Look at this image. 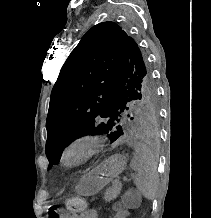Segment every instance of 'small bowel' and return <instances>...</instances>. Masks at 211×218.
Here are the masks:
<instances>
[{
	"label": "small bowel",
	"mask_w": 211,
	"mask_h": 218,
	"mask_svg": "<svg viewBox=\"0 0 211 218\" xmlns=\"http://www.w3.org/2000/svg\"><path fill=\"white\" fill-rule=\"evenodd\" d=\"M129 215L128 207L124 203H118L113 207V218H127ZM76 218H101L94 209H87L80 213Z\"/></svg>",
	"instance_id": "c3829d8e"
}]
</instances>
